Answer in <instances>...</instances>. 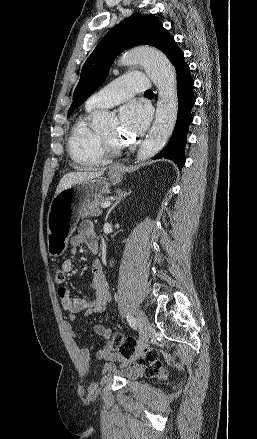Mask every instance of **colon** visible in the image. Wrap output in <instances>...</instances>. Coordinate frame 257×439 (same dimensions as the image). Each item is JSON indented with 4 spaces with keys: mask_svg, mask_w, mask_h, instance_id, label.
<instances>
[{
    "mask_svg": "<svg viewBox=\"0 0 257 439\" xmlns=\"http://www.w3.org/2000/svg\"><path fill=\"white\" fill-rule=\"evenodd\" d=\"M54 277L56 283L62 284L66 280V273L59 269L55 272ZM111 347L125 359H130L139 351L141 355L140 364L144 367L145 374L149 377H161L163 375L162 365L158 360L157 353L147 347L138 350L137 343L133 338L125 337L116 332L112 335Z\"/></svg>",
    "mask_w": 257,
    "mask_h": 439,
    "instance_id": "1",
    "label": "colon"
}]
</instances>
